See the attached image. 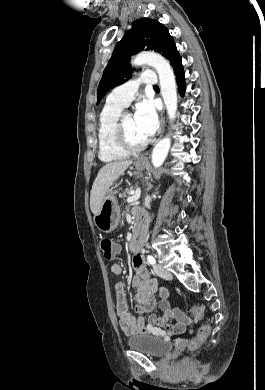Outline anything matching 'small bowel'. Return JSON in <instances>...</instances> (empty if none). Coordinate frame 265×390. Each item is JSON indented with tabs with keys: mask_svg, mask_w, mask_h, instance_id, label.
<instances>
[{
	"mask_svg": "<svg viewBox=\"0 0 265 390\" xmlns=\"http://www.w3.org/2000/svg\"><path fill=\"white\" fill-rule=\"evenodd\" d=\"M136 218L145 216L141 210H135ZM121 246L115 244V252L118 254ZM134 276L132 285L136 288V307L135 312L138 317H134L128 311L125 286L122 282L115 285L116 293V315L119 326L127 335L134 334H154L164 335L169 333H183L192 328L194 322L182 310L172 308L169 300V291L165 287L158 289L155 279H153L145 267L144 257L141 254H135L132 260ZM111 272L114 275H121L123 267L120 263H114L111 266ZM159 292V306L161 314H153L156 307L155 294ZM145 314H150L147 321L144 319ZM173 321L175 323L173 324Z\"/></svg>",
	"mask_w": 265,
	"mask_h": 390,
	"instance_id": "obj_1",
	"label": "small bowel"
}]
</instances>
